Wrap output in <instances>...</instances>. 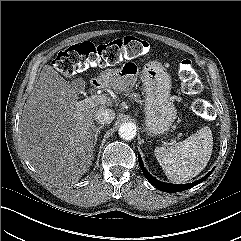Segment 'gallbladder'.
I'll return each instance as SVG.
<instances>
[{"label":"gallbladder","mask_w":241,"mask_h":241,"mask_svg":"<svg viewBox=\"0 0 241 241\" xmlns=\"http://www.w3.org/2000/svg\"><path fill=\"white\" fill-rule=\"evenodd\" d=\"M75 84H76V89L77 91H82L85 88V82L82 78H77L74 80Z\"/></svg>","instance_id":"1"}]
</instances>
